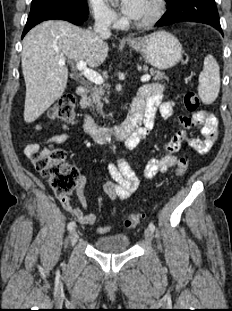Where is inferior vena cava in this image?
Wrapping results in <instances>:
<instances>
[{"mask_svg":"<svg viewBox=\"0 0 232 311\" xmlns=\"http://www.w3.org/2000/svg\"><path fill=\"white\" fill-rule=\"evenodd\" d=\"M110 25H111L110 17L100 16L96 20L93 29L100 37H108L111 35Z\"/></svg>","mask_w":232,"mask_h":311,"instance_id":"obj_1","label":"inferior vena cava"}]
</instances>
